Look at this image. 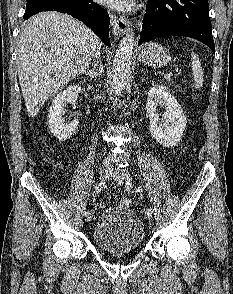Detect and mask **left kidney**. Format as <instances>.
I'll return each instance as SVG.
<instances>
[{"label":"left kidney","mask_w":233,"mask_h":294,"mask_svg":"<svg viewBox=\"0 0 233 294\" xmlns=\"http://www.w3.org/2000/svg\"><path fill=\"white\" fill-rule=\"evenodd\" d=\"M158 105L166 109L162 115L157 113ZM146 110L152 137L164 147L177 145L181 140L187 120L172 93L162 85H154L148 92Z\"/></svg>","instance_id":"obj_1"}]
</instances>
